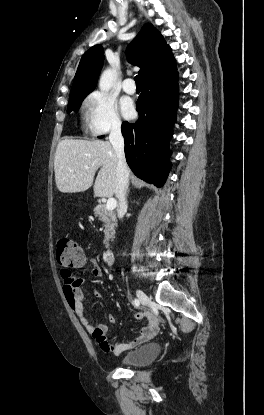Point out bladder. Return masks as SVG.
<instances>
[{
	"mask_svg": "<svg viewBox=\"0 0 264 415\" xmlns=\"http://www.w3.org/2000/svg\"><path fill=\"white\" fill-rule=\"evenodd\" d=\"M160 353V345L152 343L127 354L120 363L130 367H144L152 363Z\"/></svg>",
	"mask_w": 264,
	"mask_h": 415,
	"instance_id": "obj_1",
	"label": "bladder"
}]
</instances>
